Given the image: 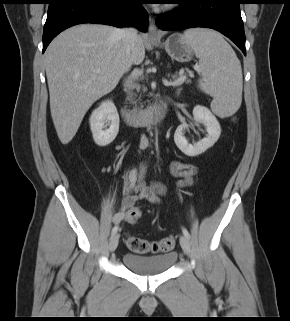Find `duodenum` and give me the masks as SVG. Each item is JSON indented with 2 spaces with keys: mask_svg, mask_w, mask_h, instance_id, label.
<instances>
[{
  "mask_svg": "<svg viewBox=\"0 0 290 321\" xmlns=\"http://www.w3.org/2000/svg\"><path fill=\"white\" fill-rule=\"evenodd\" d=\"M167 110L168 106L163 104L151 112L139 114L129 110H122L121 115L128 125L145 126L160 123L165 118Z\"/></svg>",
  "mask_w": 290,
  "mask_h": 321,
  "instance_id": "410a0bca",
  "label": "duodenum"
}]
</instances>
